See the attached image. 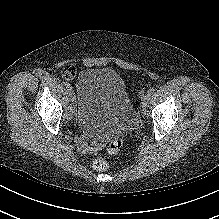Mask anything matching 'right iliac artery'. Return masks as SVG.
I'll use <instances>...</instances> for the list:
<instances>
[{
  "label": "right iliac artery",
  "mask_w": 219,
  "mask_h": 219,
  "mask_svg": "<svg viewBox=\"0 0 219 219\" xmlns=\"http://www.w3.org/2000/svg\"><path fill=\"white\" fill-rule=\"evenodd\" d=\"M64 85H65V87H66L68 90H70V89H71V87H70V84H69V83H64Z\"/></svg>",
  "instance_id": "right-iliac-artery-1"
}]
</instances>
